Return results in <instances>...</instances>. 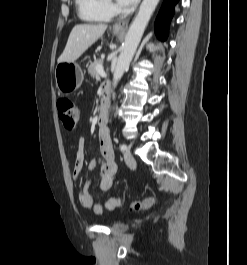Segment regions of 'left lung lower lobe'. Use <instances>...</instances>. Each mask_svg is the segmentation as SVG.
<instances>
[{
  "label": "left lung lower lobe",
  "instance_id": "1",
  "mask_svg": "<svg viewBox=\"0 0 247 265\" xmlns=\"http://www.w3.org/2000/svg\"><path fill=\"white\" fill-rule=\"evenodd\" d=\"M178 1L179 0H164L159 11L155 22V29L157 37L162 41H164L168 35L169 23L174 14L175 4Z\"/></svg>",
  "mask_w": 247,
  "mask_h": 265
}]
</instances>
